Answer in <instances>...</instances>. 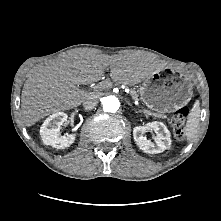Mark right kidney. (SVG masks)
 Segmentation results:
<instances>
[{
    "label": "right kidney",
    "instance_id": "ca27d5eb",
    "mask_svg": "<svg viewBox=\"0 0 221 221\" xmlns=\"http://www.w3.org/2000/svg\"><path fill=\"white\" fill-rule=\"evenodd\" d=\"M67 118L68 116L64 112H56L46 118L40 128V135L47 145L63 149L74 143L75 133L60 135V126L67 121Z\"/></svg>",
    "mask_w": 221,
    "mask_h": 221
}]
</instances>
